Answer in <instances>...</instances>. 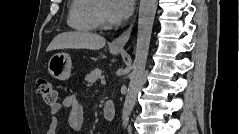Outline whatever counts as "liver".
Masks as SVG:
<instances>
[{
	"instance_id": "liver-1",
	"label": "liver",
	"mask_w": 239,
	"mask_h": 134,
	"mask_svg": "<svg viewBox=\"0 0 239 134\" xmlns=\"http://www.w3.org/2000/svg\"><path fill=\"white\" fill-rule=\"evenodd\" d=\"M102 36L89 32H64L58 34L47 47L46 51L59 49H90L98 50L105 46Z\"/></svg>"
}]
</instances>
